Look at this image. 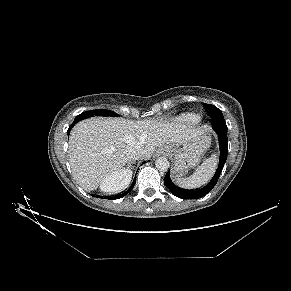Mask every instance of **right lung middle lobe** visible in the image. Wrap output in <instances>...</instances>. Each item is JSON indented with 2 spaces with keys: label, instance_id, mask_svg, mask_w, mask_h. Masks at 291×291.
I'll return each instance as SVG.
<instances>
[{
  "label": "right lung middle lobe",
  "instance_id": "obj_1",
  "mask_svg": "<svg viewBox=\"0 0 291 291\" xmlns=\"http://www.w3.org/2000/svg\"><path fill=\"white\" fill-rule=\"evenodd\" d=\"M94 115H102V116H114L115 113L110 111V110H105V109H97V110H91V111H86L80 115H78L74 121H80L82 119H85L87 117H92Z\"/></svg>",
  "mask_w": 291,
  "mask_h": 291
}]
</instances>
